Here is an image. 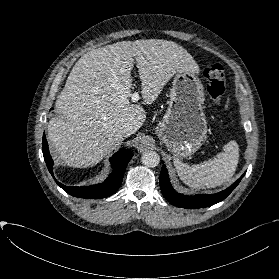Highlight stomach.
I'll use <instances>...</instances> for the list:
<instances>
[{
    "label": "stomach",
    "mask_w": 279,
    "mask_h": 279,
    "mask_svg": "<svg viewBox=\"0 0 279 279\" xmlns=\"http://www.w3.org/2000/svg\"><path fill=\"white\" fill-rule=\"evenodd\" d=\"M205 91L200 79L191 72L174 75L169 107L156 127V133L176 157L193 155L207 138V121L203 112Z\"/></svg>",
    "instance_id": "1"
}]
</instances>
